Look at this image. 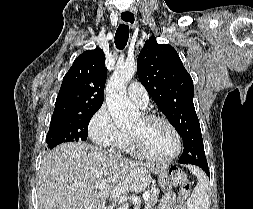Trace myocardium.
I'll use <instances>...</instances> for the list:
<instances>
[{
  "label": "myocardium",
  "instance_id": "obj_1",
  "mask_svg": "<svg viewBox=\"0 0 253 209\" xmlns=\"http://www.w3.org/2000/svg\"><path fill=\"white\" fill-rule=\"evenodd\" d=\"M142 117L144 121L146 122L161 121L165 123L172 130L175 136L176 146H175V150L170 156L165 157V158H157L147 153L141 144L140 138L136 134L130 132L131 142L136 154L142 157L143 159H146L148 161H152L155 163H159V164H165V163H169L173 161L180 154V151L182 148V138L176 126L167 117L159 115V114L144 113Z\"/></svg>",
  "mask_w": 253,
  "mask_h": 209
}]
</instances>
